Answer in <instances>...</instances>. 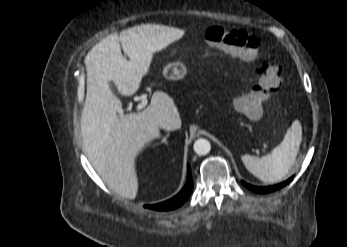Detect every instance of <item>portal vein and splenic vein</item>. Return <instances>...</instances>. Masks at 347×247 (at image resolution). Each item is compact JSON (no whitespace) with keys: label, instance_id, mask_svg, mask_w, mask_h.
Masks as SVG:
<instances>
[{"label":"portal vein and splenic vein","instance_id":"obj_1","mask_svg":"<svg viewBox=\"0 0 347 247\" xmlns=\"http://www.w3.org/2000/svg\"><path fill=\"white\" fill-rule=\"evenodd\" d=\"M148 103V100L145 96L142 97L141 103L138 104L137 109H142L144 108Z\"/></svg>","mask_w":347,"mask_h":247}]
</instances>
